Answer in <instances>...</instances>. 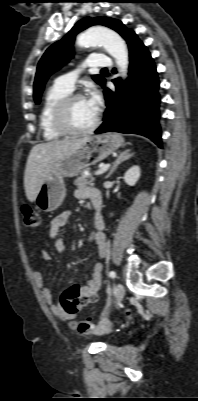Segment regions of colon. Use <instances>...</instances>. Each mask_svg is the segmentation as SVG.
<instances>
[{"label":"colon","mask_w":198,"mask_h":401,"mask_svg":"<svg viewBox=\"0 0 198 401\" xmlns=\"http://www.w3.org/2000/svg\"><path fill=\"white\" fill-rule=\"evenodd\" d=\"M22 212H23V215H24V221H25L26 226L31 227V228H35V227L39 226V224H40V216H39L38 212L35 209H33V208L29 207V206H24L23 209H22ZM73 288H74V286L69 288L63 294L62 303H61L62 308L65 311L69 312V313L77 311V307L73 303H71V299L73 298L74 293H75ZM125 317L127 319H131L132 318V313L129 310L125 311ZM91 322L92 321L89 320V319H82V320L78 321L77 325L81 326L83 324L91 323Z\"/></svg>","instance_id":"1"}]
</instances>
